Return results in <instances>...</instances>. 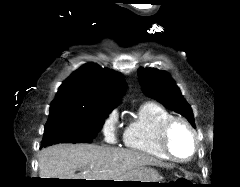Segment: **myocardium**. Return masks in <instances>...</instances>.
<instances>
[{
  "mask_svg": "<svg viewBox=\"0 0 240 187\" xmlns=\"http://www.w3.org/2000/svg\"><path fill=\"white\" fill-rule=\"evenodd\" d=\"M178 126L187 130L192 141V152L189 156L184 158L177 156L171 148V135L173 130ZM160 141L163 151L170 157V159L178 163H186L192 160L199 150L196 130L186 119L180 117H172L163 124L160 133Z\"/></svg>",
  "mask_w": 240,
  "mask_h": 187,
  "instance_id": "1",
  "label": "myocardium"
}]
</instances>
